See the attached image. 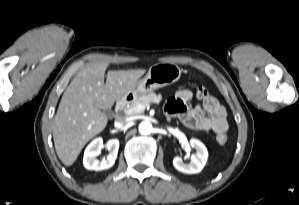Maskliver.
I'll list each match as a JSON object with an SVG mask.
<instances>
[{
    "label": "liver",
    "mask_w": 299,
    "mask_h": 205,
    "mask_svg": "<svg viewBox=\"0 0 299 205\" xmlns=\"http://www.w3.org/2000/svg\"><path fill=\"white\" fill-rule=\"evenodd\" d=\"M99 63L81 70L64 91L53 121L56 153L71 166L85 144L102 132L108 122L101 110L110 109L134 88L144 69L108 71Z\"/></svg>",
    "instance_id": "6515ba94"
}]
</instances>
